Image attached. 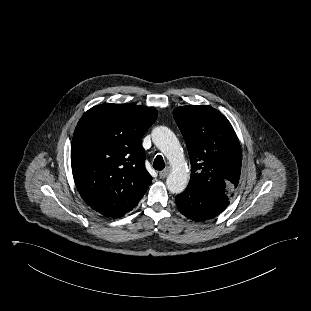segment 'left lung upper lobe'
Wrapping results in <instances>:
<instances>
[{
	"mask_svg": "<svg viewBox=\"0 0 311 311\" xmlns=\"http://www.w3.org/2000/svg\"><path fill=\"white\" fill-rule=\"evenodd\" d=\"M173 116L185 139L193 185L229 200L241 173V148L237 135L220 111L207 105L178 107Z\"/></svg>",
	"mask_w": 311,
	"mask_h": 311,
	"instance_id": "1",
	"label": "left lung upper lobe"
}]
</instances>
